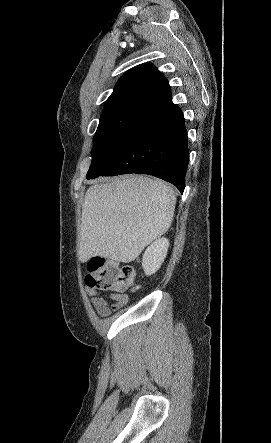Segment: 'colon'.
<instances>
[{
	"mask_svg": "<svg viewBox=\"0 0 271 443\" xmlns=\"http://www.w3.org/2000/svg\"><path fill=\"white\" fill-rule=\"evenodd\" d=\"M134 276V269L130 266H122L111 260L96 259L90 264L85 280L90 288L123 296L125 292L135 289Z\"/></svg>",
	"mask_w": 271,
	"mask_h": 443,
	"instance_id": "1",
	"label": "colon"
}]
</instances>
